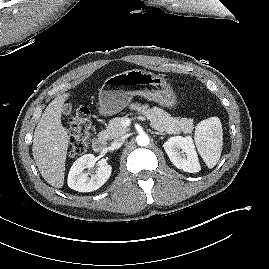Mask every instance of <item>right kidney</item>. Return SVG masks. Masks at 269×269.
<instances>
[{
	"label": "right kidney",
	"instance_id": "1",
	"mask_svg": "<svg viewBox=\"0 0 269 269\" xmlns=\"http://www.w3.org/2000/svg\"><path fill=\"white\" fill-rule=\"evenodd\" d=\"M97 158L93 154H86L77 159L68 174V186L78 192H91L99 189L109 179L112 167L108 164H101L94 174L89 177L85 169L94 167Z\"/></svg>",
	"mask_w": 269,
	"mask_h": 269
}]
</instances>
